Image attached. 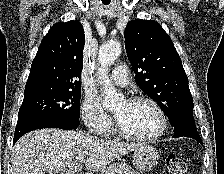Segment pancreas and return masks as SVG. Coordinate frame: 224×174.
Returning a JSON list of instances; mask_svg holds the SVG:
<instances>
[{
    "mask_svg": "<svg viewBox=\"0 0 224 174\" xmlns=\"http://www.w3.org/2000/svg\"><path fill=\"white\" fill-rule=\"evenodd\" d=\"M99 174H140L128 165L121 163H113L109 167L103 169Z\"/></svg>",
    "mask_w": 224,
    "mask_h": 174,
    "instance_id": "1",
    "label": "pancreas"
}]
</instances>
